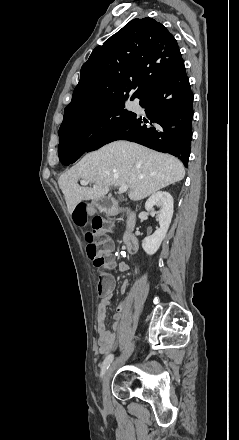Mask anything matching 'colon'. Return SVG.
Returning <instances> with one entry per match:
<instances>
[{"instance_id":"colon-1","label":"colon","mask_w":239,"mask_h":440,"mask_svg":"<svg viewBox=\"0 0 239 440\" xmlns=\"http://www.w3.org/2000/svg\"><path fill=\"white\" fill-rule=\"evenodd\" d=\"M75 220L78 225H85L86 215L84 205L81 204L76 208ZM112 229V220L96 216L92 221V228L85 231L84 234L87 243L86 251L88 258L102 271L98 285V291L100 294H103L108 290L110 283L108 271L115 267V262L111 254L113 245L108 237V234Z\"/></svg>"}]
</instances>
